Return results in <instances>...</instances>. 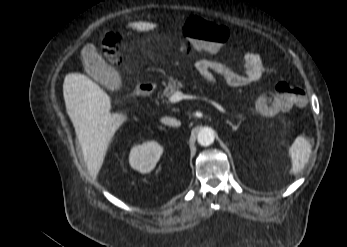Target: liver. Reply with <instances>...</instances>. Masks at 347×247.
Returning a JSON list of instances; mask_svg holds the SVG:
<instances>
[{
	"label": "liver",
	"instance_id": "1",
	"mask_svg": "<svg viewBox=\"0 0 347 247\" xmlns=\"http://www.w3.org/2000/svg\"><path fill=\"white\" fill-rule=\"evenodd\" d=\"M87 46L94 47L86 45L82 52ZM63 95L88 170L96 177L114 134L128 118L122 113H110V97L81 73L66 75Z\"/></svg>",
	"mask_w": 347,
	"mask_h": 247
}]
</instances>
